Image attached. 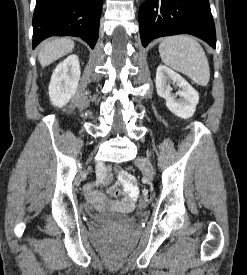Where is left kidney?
Segmentation results:
<instances>
[{"label": "left kidney", "instance_id": "1", "mask_svg": "<svg viewBox=\"0 0 247 275\" xmlns=\"http://www.w3.org/2000/svg\"><path fill=\"white\" fill-rule=\"evenodd\" d=\"M171 82L180 88L176 95L171 93ZM155 83L157 94L166 100V106L173 114L183 119L194 115L199 94L181 75L164 65H159ZM177 95L180 98L176 99Z\"/></svg>", "mask_w": 247, "mask_h": 275}]
</instances>
